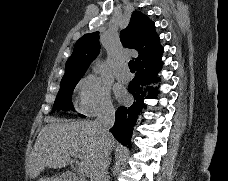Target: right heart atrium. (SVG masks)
I'll use <instances>...</instances> for the list:
<instances>
[{"label":"right heart atrium","mask_w":228,"mask_h":181,"mask_svg":"<svg viewBox=\"0 0 228 181\" xmlns=\"http://www.w3.org/2000/svg\"><path fill=\"white\" fill-rule=\"evenodd\" d=\"M80 110L88 116H97L113 110L110 89L98 76L85 79L81 87Z\"/></svg>","instance_id":"1"}]
</instances>
